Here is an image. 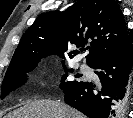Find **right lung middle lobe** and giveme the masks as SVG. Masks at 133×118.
<instances>
[{
    "instance_id": "1",
    "label": "right lung middle lobe",
    "mask_w": 133,
    "mask_h": 118,
    "mask_svg": "<svg viewBox=\"0 0 133 118\" xmlns=\"http://www.w3.org/2000/svg\"><path fill=\"white\" fill-rule=\"evenodd\" d=\"M39 61L8 68L1 86V99L6 97L11 91L16 90L19 86H22L27 81L26 73L32 71ZM72 71L70 70V72ZM67 76L68 74L62 76L59 86L62 90L80 83V81H66Z\"/></svg>"
}]
</instances>
